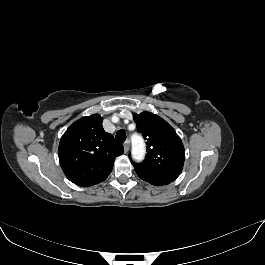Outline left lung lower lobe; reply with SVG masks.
Instances as JSON below:
<instances>
[{"label": "left lung lower lobe", "instance_id": "1", "mask_svg": "<svg viewBox=\"0 0 265 265\" xmlns=\"http://www.w3.org/2000/svg\"><path fill=\"white\" fill-rule=\"evenodd\" d=\"M141 179H143L144 181H147L153 185H157V186H160V185H167L169 184L170 182H166V181H158V180H148V179H145V178H142L140 177Z\"/></svg>", "mask_w": 265, "mask_h": 265}]
</instances>
